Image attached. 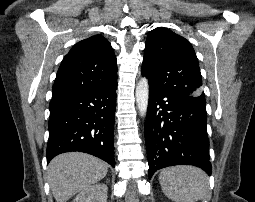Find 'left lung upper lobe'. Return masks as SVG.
<instances>
[{
  "mask_svg": "<svg viewBox=\"0 0 255 202\" xmlns=\"http://www.w3.org/2000/svg\"><path fill=\"white\" fill-rule=\"evenodd\" d=\"M141 72L151 87L205 102L194 49L169 29L158 27L147 36Z\"/></svg>",
  "mask_w": 255,
  "mask_h": 202,
  "instance_id": "1",
  "label": "left lung upper lobe"
}]
</instances>
